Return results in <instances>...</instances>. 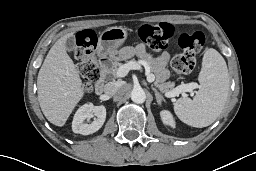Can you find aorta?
Wrapping results in <instances>:
<instances>
[{"label": "aorta", "instance_id": "obj_1", "mask_svg": "<svg viewBox=\"0 0 256 171\" xmlns=\"http://www.w3.org/2000/svg\"><path fill=\"white\" fill-rule=\"evenodd\" d=\"M131 100L137 104L144 103L146 100V94L144 90L141 87L133 88V90L131 91Z\"/></svg>", "mask_w": 256, "mask_h": 171}]
</instances>
